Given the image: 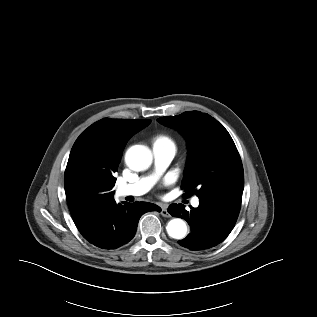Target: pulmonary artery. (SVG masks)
<instances>
[{"label":"pulmonary artery","instance_id":"obj_1","mask_svg":"<svg viewBox=\"0 0 317 317\" xmlns=\"http://www.w3.org/2000/svg\"><path fill=\"white\" fill-rule=\"evenodd\" d=\"M153 155L156 171L154 174L142 177L133 183H126L117 187V195L120 197L126 196H141L148 192L155 184L158 175L164 171L175 156V148L173 146L154 143ZM199 205L198 198L192 200V206Z\"/></svg>","mask_w":317,"mask_h":317}]
</instances>
